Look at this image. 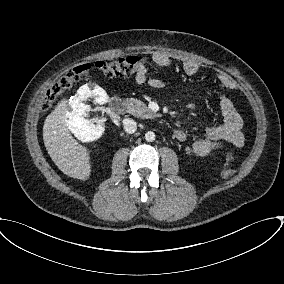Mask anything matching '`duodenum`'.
<instances>
[{
	"instance_id": "obj_1",
	"label": "duodenum",
	"mask_w": 284,
	"mask_h": 284,
	"mask_svg": "<svg viewBox=\"0 0 284 284\" xmlns=\"http://www.w3.org/2000/svg\"><path fill=\"white\" fill-rule=\"evenodd\" d=\"M111 110L119 115H123L127 111L126 103L119 97H112L109 102Z\"/></svg>"
}]
</instances>
